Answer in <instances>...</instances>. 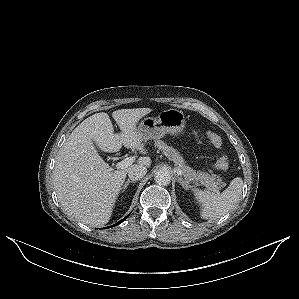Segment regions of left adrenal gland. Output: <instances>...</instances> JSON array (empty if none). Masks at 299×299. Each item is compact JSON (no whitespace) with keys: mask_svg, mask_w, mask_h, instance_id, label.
Masks as SVG:
<instances>
[{"mask_svg":"<svg viewBox=\"0 0 299 299\" xmlns=\"http://www.w3.org/2000/svg\"><path fill=\"white\" fill-rule=\"evenodd\" d=\"M177 178H178V183H180L184 189H187L188 186L187 183L179 175H177Z\"/></svg>","mask_w":299,"mask_h":299,"instance_id":"1","label":"left adrenal gland"}]
</instances>
